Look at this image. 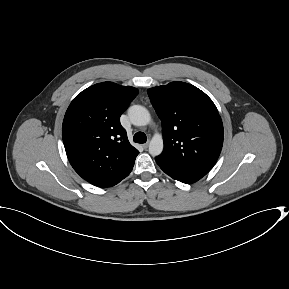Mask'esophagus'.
I'll list each match as a JSON object with an SVG mask.
<instances>
[{
    "mask_svg": "<svg viewBox=\"0 0 289 289\" xmlns=\"http://www.w3.org/2000/svg\"><path fill=\"white\" fill-rule=\"evenodd\" d=\"M148 146H149V143L147 142V143H145V144H143V148L144 149H147L148 148Z\"/></svg>",
    "mask_w": 289,
    "mask_h": 289,
    "instance_id": "1",
    "label": "esophagus"
}]
</instances>
